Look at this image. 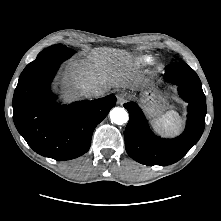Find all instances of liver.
I'll return each instance as SVG.
<instances>
[{
  "label": "liver",
  "instance_id": "liver-1",
  "mask_svg": "<svg viewBox=\"0 0 221 221\" xmlns=\"http://www.w3.org/2000/svg\"><path fill=\"white\" fill-rule=\"evenodd\" d=\"M132 57L122 50L97 48L88 60L71 62L65 72V84L76 97L83 96L87 86H98L103 92L111 88H140L132 72Z\"/></svg>",
  "mask_w": 221,
  "mask_h": 221
}]
</instances>
